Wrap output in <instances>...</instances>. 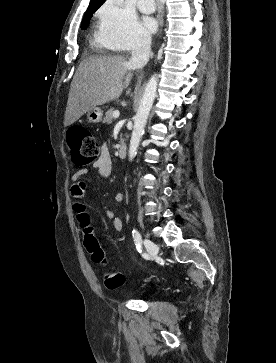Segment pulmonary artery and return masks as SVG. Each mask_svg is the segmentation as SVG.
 Returning a JSON list of instances; mask_svg holds the SVG:
<instances>
[{"instance_id":"e3ab8cb5","label":"pulmonary artery","mask_w":276,"mask_h":363,"mask_svg":"<svg viewBox=\"0 0 276 363\" xmlns=\"http://www.w3.org/2000/svg\"><path fill=\"white\" fill-rule=\"evenodd\" d=\"M138 8L143 13H152L155 10L154 0H138Z\"/></svg>"}]
</instances>
